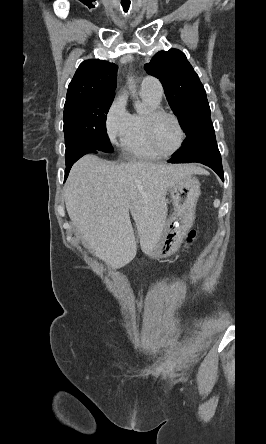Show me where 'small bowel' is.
Returning <instances> with one entry per match:
<instances>
[{
  "label": "small bowel",
  "mask_w": 266,
  "mask_h": 444,
  "mask_svg": "<svg viewBox=\"0 0 266 444\" xmlns=\"http://www.w3.org/2000/svg\"><path fill=\"white\" fill-rule=\"evenodd\" d=\"M195 231H191L186 239V249L189 248V246L192 244V242L194 241L195 238Z\"/></svg>",
  "instance_id": "c3829d8e"
}]
</instances>
